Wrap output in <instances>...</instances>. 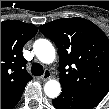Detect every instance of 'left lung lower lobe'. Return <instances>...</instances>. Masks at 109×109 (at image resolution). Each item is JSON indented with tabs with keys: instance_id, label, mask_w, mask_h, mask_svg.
Here are the masks:
<instances>
[{
	"instance_id": "0a47b994",
	"label": "left lung lower lobe",
	"mask_w": 109,
	"mask_h": 109,
	"mask_svg": "<svg viewBox=\"0 0 109 109\" xmlns=\"http://www.w3.org/2000/svg\"><path fill=\"white\" fill-rule=\"evenodd\" d=\"M62 86V93L52 103L56 109H93L102 99L80 92L69 86Z\"/></svg>"
}]
</instances>
